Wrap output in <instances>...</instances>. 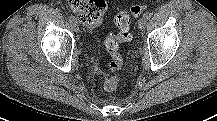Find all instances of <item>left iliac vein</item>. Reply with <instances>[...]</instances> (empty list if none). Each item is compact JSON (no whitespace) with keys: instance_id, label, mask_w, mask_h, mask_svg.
<instances>
[{"instance_id":"4c4485c4","label":"left iliac vein","mask_w":217,"mask_h":121,"mask_svg":"<svg viewBox=\"0 0 217 121\" xmlns=\"http://www.w3.org/2000/svg\"><path fill=\"white\" fill-rule=\"evenodd\" d=\"M146 25H147V19L145 17L140 18L138 21V28L140 30H143L145 29Z\"/></svg>"}]
</instances>
